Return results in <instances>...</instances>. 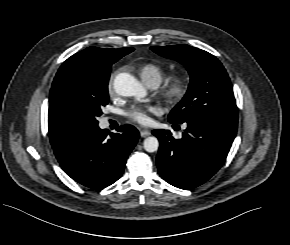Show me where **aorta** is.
<instances>
[{
    "mask_svg": "<svg viewBox=\"0 0 290 245\" xmlns=\"http://www.w3.org/2000/svg\"><path fill=\"white\" fill-rule=\"evenodd\" d=\"M115 91L125 97L135 96L137 98H143L146 96V89L144 86L131 74L120 73L114 80ZM159 148V141L156 137H147L144 140V149L153 153Z\"/></svg>",
    "mask_w": 290,
    "mask_h": 245,
    "instance_id": "1",
    "label": "aorta"
}]
</instances>
